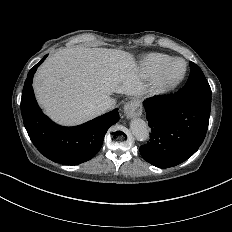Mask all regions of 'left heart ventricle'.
Here are the masks:
<instances>
[{"label":"left heart ventricle","instance_id":"left-heart-ventricle-1","mask_svg":"<svg viewBox=\"0 0 232 232\" xmlns=\"http://www.w3.org/2000/svg\"><path fill=\"white\" fill-rule=\"evenodd\" d=\"M183 70H184V64L182 62H178L173 66L171 70V76L174 77L179 76L182 74Z\"/></svg>","mask_w":232,"mask_h":232}]
</instances>
